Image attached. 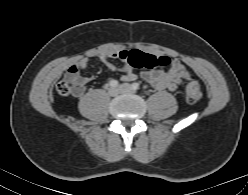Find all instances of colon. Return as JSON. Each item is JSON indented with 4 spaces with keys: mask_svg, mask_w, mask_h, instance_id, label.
Instances as JSON below:
<instances>
[{
    "mask_svg": "<svg viewBox=\"0 0 248 195\" xmlns=\"http://www.w3.org/2000/svg\"><path fill=\"white\" fill-rule=\"evenodd\" d=\"M125 59L129 66L135 69H152L155 67H166L170 64V59L165 56H156L133 50L121 57ZM56 91L59 95L68 97L79 95L83 92V80L78 72L68 73L56 85ZM202 96L201 86L198 80L189 76L185 86V99L189 104L197 103Z\"/></svg>",
    "mask_w": 248,
    "mask_h": 195,
    "instance_id": "1",
    "label": "colon"
}]
</instances>
